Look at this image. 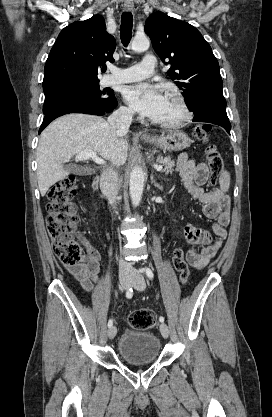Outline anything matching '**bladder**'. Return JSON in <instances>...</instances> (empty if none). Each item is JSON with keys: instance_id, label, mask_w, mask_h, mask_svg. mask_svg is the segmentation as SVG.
<instances>
[{"instance_id": "1", "label": "bladder", "mask_w": 272, "mask_h": 417, "mask_svg": "<svg viewBox=\"0 0 272 417\" xmlns=\"http://www.w3.org/2000/svg\"><path fill=\"white\" fill-rule=\"evenodd\" d=\"M161 351L159 338L150 332L127 329L118 341V352L123 360L131 364L154 362Z\"/></svg>"}]
</instances>
